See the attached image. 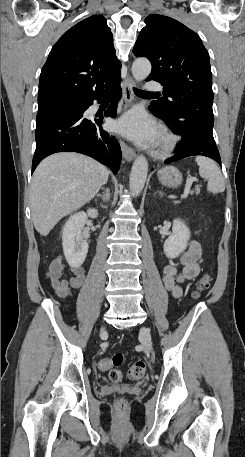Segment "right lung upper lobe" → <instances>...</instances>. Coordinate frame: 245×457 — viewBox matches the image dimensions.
I'll return each mask as SVG.
<instances>
[{
	"mask_svg": "<svg viewBox=\"0 0 245 457\" xmlns=\"http://www.w3.org/2000/svg\"><path fill=\"white\" fill-rule=\"evenodd\" d=\"M113 35L102 15L70 28L53 46L39 81L38 110L91 97L121 79Z\"/></svg>",
	"mask_w": 245,
	"mask_h": 457,
	"instance_id": "right-lung-upper-lobe-1",
	"label": "right lung upper lobe"
}]
</instances>
